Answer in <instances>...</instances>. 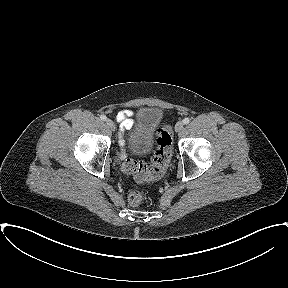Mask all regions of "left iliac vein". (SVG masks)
Returning a JSON list of instances; mask_svg holds the SVG:
<instances>
[{"label":"left iliac vein","mask_w":288,"mask_h":288,"mask_svg":"<svg viewBox=\"0 0 288 288\" xmlns=\"http://www.w3.org/2000/svg\"><path fill=\"white\" fill-rule=\"evenodd\" d=\"M183 127H184V123L182 121H179L175 125V131L180 132L183 130Z\"/></svg>","instance_id":"4c4485c4"}]
</instances>
